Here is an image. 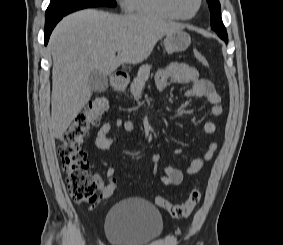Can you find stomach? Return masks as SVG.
I'll list each match as a JSON object with an SVG mask.
<instances>
[{
	"label": "stomach",
	"mask_w": 283,
	"mask_h": 245,
	"mask_svg": "<svg viewBox=\"0 0 283 245\" xmlns=\"http://www.w3.org/2000/svg\"><path fill=\"white\" fill-rule=\"evenodd\" d=\"M191 43L188 33L183 30L175 31L166 35L164 39L165 51L168 54L185 51Z\"/></svg>",
	"instance_id": "0dacf381"
}]
</instances>
